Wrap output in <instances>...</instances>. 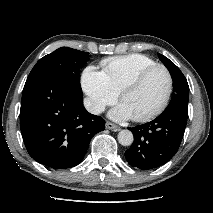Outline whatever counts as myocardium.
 <instances>
[{"mask_svg":"<svg viewBox=\"0 0 213 213\" xmlns=\"http://www.w3.org/2000/svg\"><path fill=\"white\" fill-rule=\"evenodd\" d=\"M161 69L163 70L168 78V86H167V91L166 94L164 96V98L162 99V101L150 112L142 115V116H138V117H132V120L135 122H146L152 118H154L155 116H157L168 104L172 91H173V84H174V80H173V76L171 71L164 65L161 64H156L150 67H147L143 70H141L140 72H138L135 76H133L129 81H127L122 88L120 89V91L118 92V99L121 102L123 96L130 90L134 89L136 86H138L141 81L151 72Z\"/></svg>","mask_w":213,"mask_h":213,"instance_id":"1","label":"myocardium"}]
</instances>
